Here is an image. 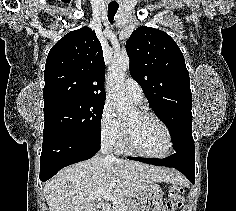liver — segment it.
Listing matches in <instances>:
<instances>
[{"mask_svg": "<svg viewBox=\"0 0 236 211\" xmlns=\"http://www.w3.org/2000/svg\"><path fill=\"white\" fill-rule=\"evenodd\" d=\"M156 182L179 184L183 179L174 170L96 156L60 170L46 182L44 194L49 211H111L109 205L90 198L102 192L136 197Z\"/></svg>", "mask_w": 236, "mask_h": 211, "instance_id": "1", "label": "liver"}]
</instances>
